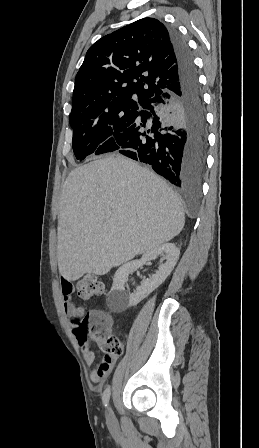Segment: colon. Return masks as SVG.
Segmentation results:
<instances>
[{
	"instance_id": "obj_1",
	"label": "colon",
	"mask_w": 259,
	"mask_h": 448,
	"mask_svg": "<svg viewBox=\"0 0 259 448\" xmlns=\"http://www.w3.org/2000/svg\"><path fill=\"white\" fill-rule=\"evenodd\" d=\"M102 292V282L93 275L85 276L77 285V294L81 300L96 298ZM75 333L81 343L88 339L96 341L107 356L118 357L122 354V343L111 331L110 318L100 309H91L82 319L77 320Z\"/></svg>"
}]
</instances>
